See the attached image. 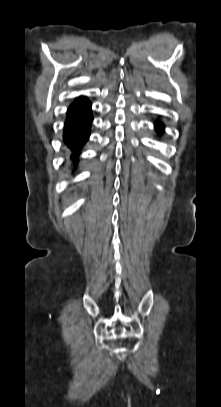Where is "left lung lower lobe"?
<instances>
[{"instance_id":"0a47b994","label":"left lung lower lobe","mask_w":221,"mask_h":407,"mask_svg":"<svg viewBox=\"0 0 221 407\" xmlns=\"http://www.w3.org/2000/svg\"><path fill=\"white\" fill-rule=\"evenodd\" d=\"M155 127H156V130H157V132H158L159 134H161V133L164 131V126H163L162 124L157 123V124L155 125Z\"/></svg>"}]
</instances>
